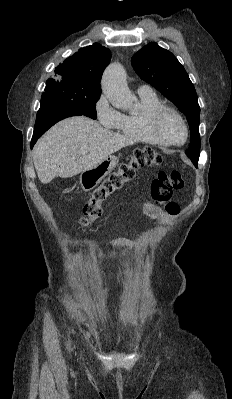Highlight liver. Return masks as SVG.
Here are the masks:
<instances>
[{
    "label": "liver",
    "mask_w": 232,
    "mask_h": 399,
    "mask_svg": "<svg viewBox=\"0 0 232 399\" xmlns=\"http://www.w3.org/2000/svg\"><path fill=\"white\" fill-rule=\"evenodd\" d=\"M134 144L133 140L102 128L98 122L77 116L67 118L46 132L33 150V162L42 184H49L56 176L72 178L91 170L110 154ZM81 146H88L85 156Z\"/></svg>",
    "instance_id": "obj_1"
}]
</instances>
